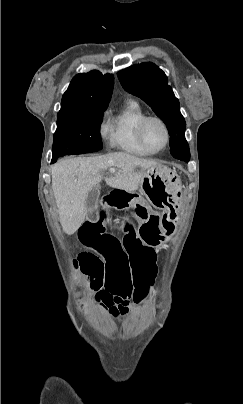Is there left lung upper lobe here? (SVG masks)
<instances>
[{
  "label": "left lung upper lobe",
  "mask_w": 243,
  "mask_h": 404,
  "mask_svg": "<svg viewBox=\"0 0 243 404\" xmlns=\"http://www.w3.org/2000/svg\"><path fill=\"white\" fill-rule=\"evenodd\" d=\"M117 76L127 92L144 100L166 124L171 155L177 159L190 158L186 123L165 73L153 63H141L119 71Z\"/></svg>",
  "instance_id": "obj_1"
}]
</instances>
